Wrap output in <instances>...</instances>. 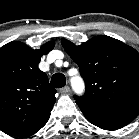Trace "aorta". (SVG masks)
Here are the masks:
<instances>
[{"mask_svg":"<svg viewBox=\"0 0 139 139\" xmlns=\"http://www.w3.org/2000/svg\"><path fill=\"white\" fill-rule=\"evenodd\" d=\"M71 86L76 94L81 95L85 91V85L81 77L71 78Z\"/></svg>","mask_w":139,"mask_h":139,"instance_id":"obj_1","label":"aorta"}]
</instances>
